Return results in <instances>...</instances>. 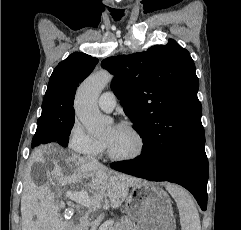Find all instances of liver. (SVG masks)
Segmentation results:
<instances>
[{"mask_svg": "<svg viewBox=\"0 0 241 230\" xmlns=\"http://www.w3.org/2000/svg\"><path fill=\"white\" fill-rule=\"evenodd\" d=\"M34 164L41 165L46 172L47 182L42 186L36 185L30 173L25 178L21 196L22 230H66V224L59 214V204L49 187V181L53 178L64 188L81 184L85 188L82 191H89L93 200L102 199L107 191L110 205L114 209L127 199L129 187L141 181L110 171L101 164L93 165L76 154L58 152L49 147L32 153L30 166ZM74 192L78 193L70 190L66 195Z\"/></svg>", "mask_w": 241, "mask_h": 230, "instance_id": "6515ba94", "label": "liver"}]
</instances>
